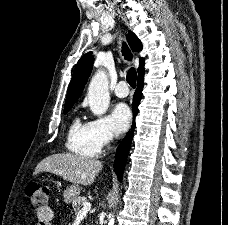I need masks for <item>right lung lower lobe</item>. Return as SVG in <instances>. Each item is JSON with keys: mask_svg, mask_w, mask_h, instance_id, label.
<instances>
[{"mask_svg": "<svg viewBox=\"0 0 228 225\" xmlns=\"http://www.w3.org/2000/svg\"><path fill=\"white\" fill-rule=\"evenodd\" d=\"M143 86H144V66H142L138 70L137 90L134 94L133 104H132V110H133V115H134L133 119L135 118L136 114L138 113V105L142 98ZM133 128H134V123L132 125V130L129 133H127L126 137L120 143V145L118 146L117 151H116L115 161H114V171H115L119 181H121L122 177H123L126 159H127V155H128L132 137H133Z\"/></svg>", "mask_w": 228, "mask_h": 225, "instance_id": "1", "label": "right lung lower lobe"}]
</instances>
